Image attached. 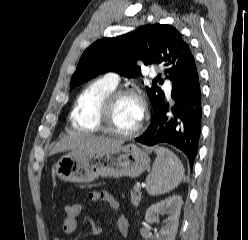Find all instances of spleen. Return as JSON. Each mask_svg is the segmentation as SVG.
Returning a JSON list of instances; mask_svg holds the SVG:
<instances>
[{"mask_svg":"<svg viewBox=\"0 0 248 240\" xmlns=\"http://www.w3.org/2000/svg\"><path fill=\"white\" fill-rule=\"evenodd\" d=\"M157 155L152 171L146 178V190L152 196L162 195L176 188L184 177L179 158L165 147H155Z\"/></svg>","mask_w":248,"mask_h":240,"instance_id":"spleen-1","label":"spleen"}]
</instances>
